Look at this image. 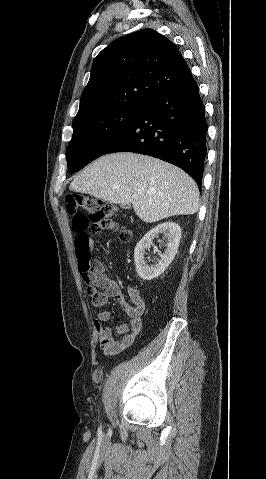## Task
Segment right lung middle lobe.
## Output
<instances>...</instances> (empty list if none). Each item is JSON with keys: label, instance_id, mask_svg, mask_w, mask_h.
Returning <instances> with one entry per match:
<instances>
[{"label": "right lung middle lobe", "instance_id": "dd1d6c3e", "mask_svg": "<svg viewBox=\"0 0 266 479\" xmlns=\"http://www.w3.org/2000/svg\"><path fill=\"white\" fill-rule=\"evenodd\" d=\"M143 109H113L73 120V135L66 152L70 172L75 173L102 156Z\"/></svg>", "mask_w": 266, "mask_h": 479}]
</instances>
